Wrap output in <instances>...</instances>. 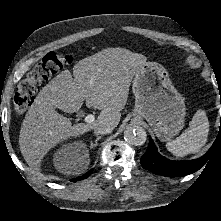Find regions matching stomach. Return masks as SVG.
Wrapping results in <instances>:
<instances>
[{
  "mask_svg": "<svg viewBox=\"0 0 221 221\" xmlns=\"http://www.w3.org/2000/svg\"><path fill=\"white\" fill-rule=\"evenodd\" d=\"M132 83L134 115L146 119L161 141L171 140L184 126L186 106L166 69L159 63L146 62Z\"/></svg>",
  "mask_w": 221,
  "mask_h": 221,
  "instance_id": "1",
  "label": "stomach"
}]
</instances>
